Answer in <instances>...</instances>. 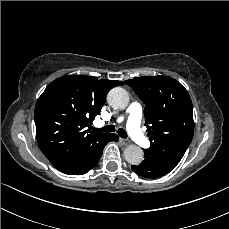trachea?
<instances>
[{"label": "trachea", "mask_w": 229, "mask_h": 229, "mask_svg": "<svg viewBox=\"0 0 229 229\" xmlns=\"http://www.w3.org/2000/svg\"><path fill=\"white\" fill-rule=\"evenodd\" d=\"M94 131H98V132H104V133H110L113 132L115 130V127L113 125H107L103 128H94ZM117 133L119 134L120 137L122 138H126L127 137V133L123 128H119L117 130Z\"/></svg>", "instance_id": "trachea-1"}]
</instances>
